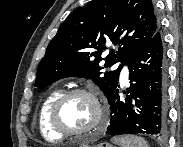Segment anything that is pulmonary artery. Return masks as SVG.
I'll return each instance as SVG.
<instances>
[{"instance_id": "1", "label": "pulmonary artery", "mask_w": 183, "mask_h": 147, "mask_svg": "<svg viewBox=\"0 0 183 147\" xmlns=\"http://www.w3.org/2000/svg\"><path fill=\"white\" fill-rule=\"evenodd\" d=\"M127 76H128V68H127L126 65H124V66H123V69H122V78H123L124 80H126Z\"/></svg>"}]
</instances>
